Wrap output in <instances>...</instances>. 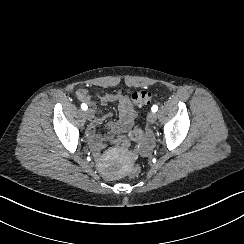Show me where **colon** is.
<instances>
[{
	"label": "colon",
	"mask_w": 244,
	"mask_h": 244,
	"mask_svg": "<svg viewBox=\"0 0 244 244\" xmlns=\"http://www.w3.org/2000/svg\"><path fill=\"white\" fill-rule=\"evenodd\" d=\"M131 99L136 106H146L151 103L152 94L148 91H137L132 93ZM129 137L134 141L140 140L143 137V132L141 129L134 127L132 132H130ZM114 139L115 141L112 139L106 141L105 146L107 149L112 150L117 146L123 150H128L131 147V142L128 139H125L124 134L121 132L116 133ZM131 174L134 177H139L142 174V169L139 166H134L131 169Z\"/></svg>",
	"instance_id": "1"
}]
</instances>
